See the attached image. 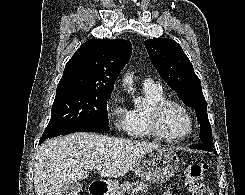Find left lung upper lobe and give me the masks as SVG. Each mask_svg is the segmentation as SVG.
Listing matches in <instances>:
<instances>
[{
	"mask_svg": "<svg viewBox=\"0 0 245 195\" xmlns=\"http://www.w3.org/2000/svg\"><path fill=\"white\" fill-rule=\"evenodd\" d=\"M144 44L159 75L187 106L195 110L201 143L214 146L201 81L181 46L169 38L149 39Z\"/></svg>",
	"mask_w": 245,
	"mask_h": 195,
	"instance_id": "obj_1",
	"label": "left lung upper lobe"
}]
</instances>
